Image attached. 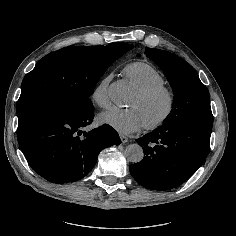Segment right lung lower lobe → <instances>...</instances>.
<instances>
[{
	"mask_svg": "<svg viewBox=\"0 0 236 236\" xmlns=\"http://www.w3.org/2000/svg\"><path fill=\"white\" fill-rule=\"evenodd\" d=\"M93 111L45 112L19 125L18 142L29 165L53 183L73 182L87 175L101 150L121 143L108 124L88 131Z\"/></svg>",
	"mask_w": 236,
	"mask_h": 236,
	"instance_id": "right-lung-lower-lobe-1",
	"label": "right lung lower lobe"
}]
</instances>
